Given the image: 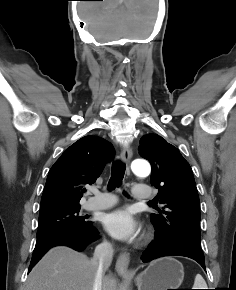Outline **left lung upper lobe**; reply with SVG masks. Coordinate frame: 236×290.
<instances>
[{
	"label": "left lung upper lobe",
	"instance_id": "5c2ea615",
	"mask_svg": "<svg viewBox=\"0 0 236 290\" xmlns=\"http://www.w3.org/2000/svg\"><path fill=\"white\" fill-rule=\"evenodd\" d=\"M139 154L151 163V185L159 189L157 199L165 207L150 215L155 229L167 240L187 237L200 244V201L189 163L176 147L152 133L140 139Z\"/></svg>",
	"mask_w": 236,
	"mask_h": 290
}]
</instances>
